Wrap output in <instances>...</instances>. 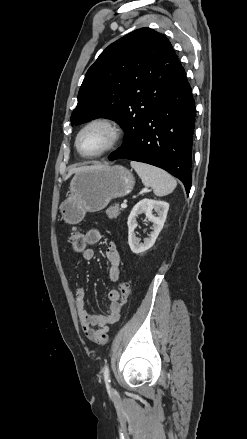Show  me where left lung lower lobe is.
Masks as SVG:
<instances>
[{"label":"left lung lower lobe","instance_id":"obj_1","mask_svg":"<svg viewBox=\"0 0 247 439\" xmlns=\"http://www.w3.org/2000/svg\"><path fill=\"white\" fill-rule=\"evenodd\" d=\"M195 106L185 73L161 93L131 139L109 156L160 167L191 189V149Z\"/></svg>","mask_w":247,"mask_h":439}]
</instances>
